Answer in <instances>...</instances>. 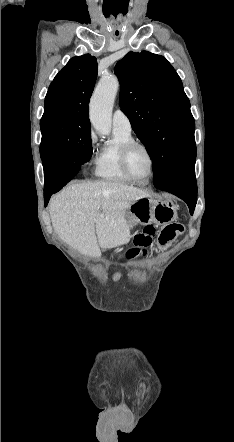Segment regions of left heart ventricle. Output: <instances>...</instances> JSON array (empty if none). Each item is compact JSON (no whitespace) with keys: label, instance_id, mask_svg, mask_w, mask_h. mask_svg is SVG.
Masks as SVG:
<instances>
[{"label":"left heart ventricle","instance_id":"obj_1","mask_svg":"<svg viewBox=\"0 0 234 442\" xmlns=\"http://www.w3.org/2000/svg\"><path fill=\"white\" fill-rule=\"evenodd\" d=\"M129 168L139 180L145 181L150 175V160L147 153L140 147H135L129 154Z\"/></svg>","mask_w":234,"mask_h":442}]
</instances>
